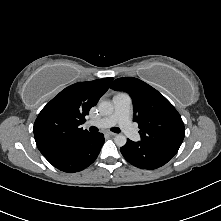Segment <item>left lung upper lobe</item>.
Returning a JSON list of instances; mask_svg holds the SVG:
<instances>
[{
  "instance_id": "1",
  "label": "left lung upper lobe",
  "mask_w": 221,
  "mask_h": 221,
  "mask_svg": "<svg viewBox=\"0 0 221 221\" xmlns=\"http://www.w3.org/2000/svg\"><path fill=\"white\" fill-rule=\"evenodd\" d=\"M111 88L128 92L141 142L179 148L185 136L184 123L174 106L156 89L133 77L116 79Z\"/></svg>"
}]
</instances>
